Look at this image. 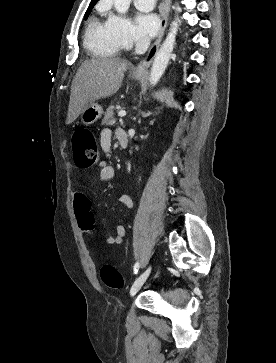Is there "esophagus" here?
I'll return each instance as SVG.
<instances>
[{"label": "esophagus", "instance_id": "34e87169", "mask_svg": "<svg viewBox=\"0 0 276 363\" xmlns=\"http://www.w3.org/2000/svg\"><path fill=\"white\" fill-rule=\"evenodd\" d=\"M170 2H171V0H162V3L160 5L161 25H160V30H159L158 36H157L154 44L149 49L145 59L143 61H141L140 64L136 67L135 73H137V74L147 73L148 68L150 67L152 60L158 50V47L163 38L164 31H165V28L167 25Z\"/></svg>", "mask_w": 276, "mask_h": 363}]
</instances>
